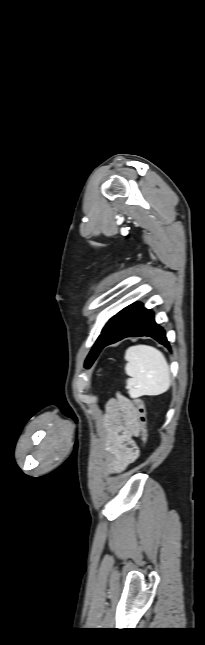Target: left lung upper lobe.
Masks as SVG:
<instances>
[{
    "label": "left lung upper lobe",
    "mask_w": 205,
    "mask_h": 645,
    "mask_svg": "<svg viewBox=\"0 0 205 645\" xmlns=\"http://www.w3.org/2000/svg\"><path fill=\"white\" fill-rule=\"evenodd\" d=\"M108 324H109V322H108V323L105 325V327L103 328V330H102V332H101V333H103V334H101V335L98 337V339H97V341H96L95 345L93 346V348H92L91 352L89 353V355H88V357H87V359H86V361H85V366H86V367H90V366H91V364H92V363L94 362V360L96 359V357H97V355H98V351H99L100 344H101V342H102V340H103V338H104V336H105V334H106V332H107Z\"/></svg>",
    "instance_id": "5c2ea615"
}]
</instances>
